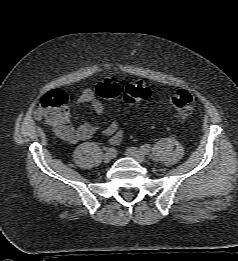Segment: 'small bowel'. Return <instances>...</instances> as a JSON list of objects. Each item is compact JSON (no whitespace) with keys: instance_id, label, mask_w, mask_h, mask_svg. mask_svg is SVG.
Here are the masks:
<instances>
[{"instance_id":"obj_1","label":"small bowel","mask_w":238,"mask_h":261,"mask_svg":"<svg viewBox=\"0 0 238 261\" xmlns=\"http://www.w3.org/2000/svg\"><path fill=\"white\" fill-rule=\"evenodd\" d=\"M77 104L90 103L93 110L101 115L104 112L103 103L96 98L95 91L92 88L84 89L76 99ZM56 134L69 143H77L82 140L91 138L97 131V126L92 123H84L75 127L69 116L59 124L52 125ZM113 145L121 143L124 137V131L120 128L118 122L112 121L102 132Z\"/></svg>"}]
</instances>
